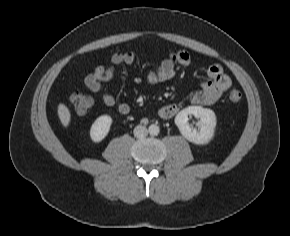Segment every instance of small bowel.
I'll return each instance as SVG.
<instances>
[{"instance_id": "small-bowel-1", "label": "small bowel", "mask_w": 290, "mask_h": 236, "mask_svg": "<svg viewBox=\"0 0 290 236\" xmlns=\"http://www.w3.org/2000/svg\"><path fill=\"white\" fill-rule=\"evenodd\" d=\"M136 56L133 52H117L111 56L110 66H98L93 72L85 78L87 88L92 92H100L102 85L111 81L116 75V67L122 64L133 65ZM191 63V55L186 51H176L170 53L167 57L159 61L157 69L147 76V82L150 84L162 83L170 80L175 74V66H188ZM209 81L201 82V89L192 94L190 101L195 105H212L216 103L222 95L229 89L231 79L225 73L223 67L219 63L211 64L207 69ZM103 103L112 107L115 105V98L110 93H105L102 97ZM176 104H167L158 110L159 118L163 120L171 119L178 113ZM118 111L125 115L130 111V107L126 103L118 106Z\"/></svg>"}]
</instances>
